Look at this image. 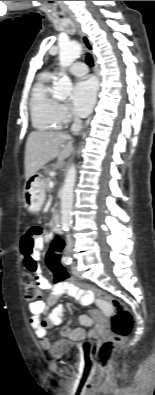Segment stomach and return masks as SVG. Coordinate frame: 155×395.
Returning <instances> with one entry per match:
<instances>
[{
	"label": "stomach",
	"mask_w": 155,
	"mask_h": 395,
	"mask_svg": "<svg viewBox=\"0 0 155 395\" xmlns=\"http://www.w3.org/2000/svg\"><path fill=\"white\" fill-rule=\"evenodd\" d=\"M24 205L28 212L41 210L45 201L44 179L40 174L32 176L24 186Z\"/></svg>",
	"instance_id": "1"
}]
</instances>
